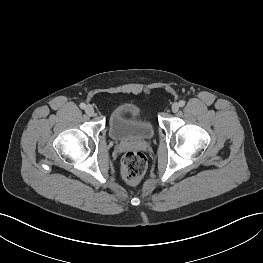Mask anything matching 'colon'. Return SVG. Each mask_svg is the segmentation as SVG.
<instances>
[{"instance_id":"obj_1","label":"colon","mask_w":263,"mask_h":263,"mask_svg":"<svg viewBox=\"0 0 263 263\" xmlns=\"http://www.w3.org/2000/svg\"><path fill=\"white\" fill-rule=\"evenodd\" d=\"M147 169L146 156L140 151H128L124 154L121 163V175L129 185L138 184Z\"/></svg>"}]
</instances>
